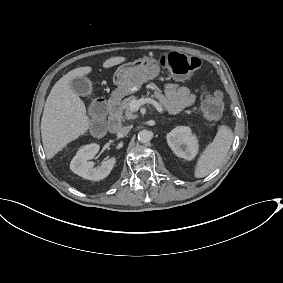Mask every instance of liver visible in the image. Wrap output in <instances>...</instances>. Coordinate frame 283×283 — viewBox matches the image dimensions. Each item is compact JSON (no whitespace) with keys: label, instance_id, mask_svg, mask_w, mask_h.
<instances>
[{"label":"liver","instance_id":"1","mask_svg":"<svg viewBox=\"0 0 283 283\" xmlns=\"http://www.w3.org/2000/svg\"><path fill=\"white\" fill-rule=\"evenodd\" d=\"M124 61V57H112L103 63V67L110 68ZM91 71L90 66L75 68L60 78L51 89L40 127L43 148L48 159L89 128L90 120L86 115L85 105L70 83Z\"/></svg>","mask_w":283,"mask_h":283}]
</instances>
